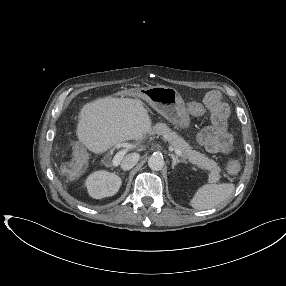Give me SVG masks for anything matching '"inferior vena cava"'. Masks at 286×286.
<instances>
[{"instance_id": "inferior-vena-cava-1", "label": "inferior vena cava", "mask_w": 286, "mask_h": 286, "mask_svg": "<svg viewBox=\"0 0 286 286\" xmlns=\"http://www.w3.org/2000/svg\"><path fill=\"white\" fill-rule=\"evenodd\" d=\"M138 160H139V154L137 153L128 154L121 161V168L125 171L130 170L137 164Z\"/></svg>"}]
</instances>
